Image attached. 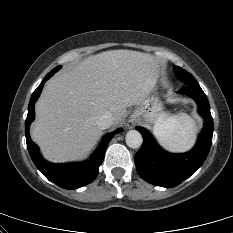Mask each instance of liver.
Returning a JSON list of instances; mask_svg holds the SVG:
<instances>
[{
	"mask_svg": "<svg viewBox=\"0 0 233 233\" xmlns=\"http://www.w3.org/2000/svg\"><path fill=\"white\" fill-rule=\"evenodd\" d=\"M159 65L154 56L111 50L89 56L53 76L36 103L32 139L54 163L83 159L97 143L96 122L110 112L120 123L126 108L155 90Z\"/></svg>",
	"mask_w": 233,
	"mask_h": 233,
	"instance_id": "6515ba94",
	"label": "liver"
}]
</instances>
